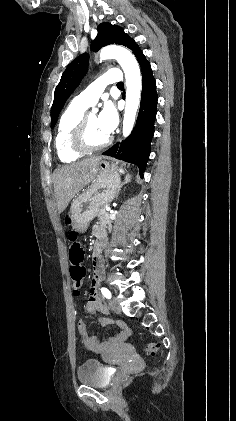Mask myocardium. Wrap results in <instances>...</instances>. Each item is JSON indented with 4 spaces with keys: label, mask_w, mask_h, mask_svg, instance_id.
<instances>
[{
    "label": "myocardium",
    "mask_w": 236,
    "mask_h": 421,
    "mask_svg": "<svg viewBox=\"0 0 236 421\" xmlns=\"http://www.w3.org/2000/svg\"><path fill=\"white\" fill-rule=\"evenodd\" d=\"M89 113H83L81 117L76 121L74 124L71 134H70V142L73 149L81 154H87L94 151L101 150L107 147L112 137L108 135L107 139L98 145H90L87 143L85 138V127L87 123Z\"/></svg>",
    "instance_id": "1"
}]
</instances>
